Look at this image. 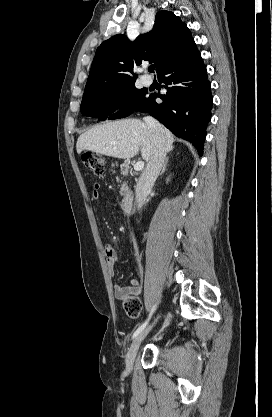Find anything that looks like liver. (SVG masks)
<instances>
[{
    "label": "liver",
    "mask_w": 272,
    "mask_h": 417,
    "mask_svg": "<svg viewBox=\"0 0 272 417\" xmlns=\"http://www.w3.org/2000/svg\"><path fill=\"white\" fill-rule=\"evenodd\" d=\"M166 152L173 149V135L163 128ZM141 148L142 158L148 162L151 157V133L139 119H124L99 124L81 134L76 143L77 153L83 150L102 155L129 159Z\"/></svg>",
    "instance_id": "6515ba94"
}]
</instances>
